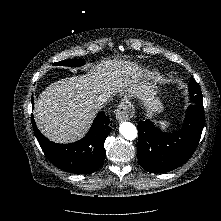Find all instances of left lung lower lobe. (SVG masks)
<instances>
[{
  "label": "left lung lower lobe",
  "mask_w": 221,
  "mask_h": 221,
  "mask_svg": "<svg viewBox=\"0 0 221 221\" xmlns=\"http://www.w3.org/2000/svg\"><path fill=\"white\" fill-rule=\"evenodd\" d=\"M181 129L163 133L150 120L138 124V162L146 171L164 173L185 163L194 153L204 127L202 96L192 98Z\"/></svg>",
  "instance_id": "0a47b994"
}]
</instances>
